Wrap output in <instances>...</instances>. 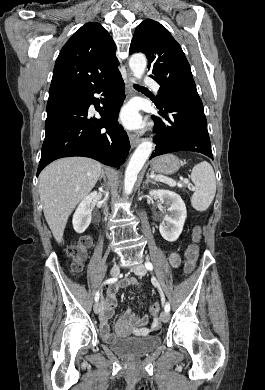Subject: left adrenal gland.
<instances>
[{
  "mask_svg": "<svg viewBox=\"0 0 265 390\" xmlns=\"http://www.w3.org/2000/svg\"><path fill=\"white\" fill-rule=\"evenodd\" d=\"M149 182H151L152 184H156V182L150 178L149 176V172L146 174V180H145V185H147Z\"/></svg>",
  "mask_w": 265,
  "mask_h": 390,
  "instance_id": "obj_1",
  "label": "left adrenal gland"
}]
</instances>
